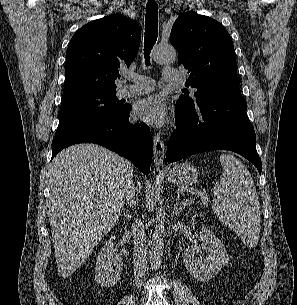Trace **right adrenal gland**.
Instances as JSON below:
<instances>
[{"mask_svg":"<svg viewBox=\"0 0 297 305\" xmlns=\"http://www.w3.org/2000/svg\"><path fill=\"white\" fill-rule=\"evenodd\" d=\"M123 216L126 217L127 219L132 217L130 213H124Z\"/></svg>","mask_w":297,"mask_h":305,"instance_id":"2a0ac1e0","label":"right adrenal gland"}]
</instances>
